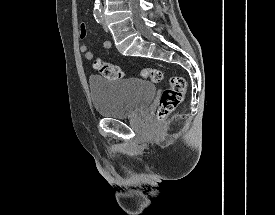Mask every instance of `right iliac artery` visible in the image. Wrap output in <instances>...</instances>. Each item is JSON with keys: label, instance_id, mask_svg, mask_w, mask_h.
Segmentation results:
<instances>
[{"label": "right iliac artery", "instance_id": "82829eb1", "mask_svg": "<svg viewBox=\"0 0 275 215\" xmlns=\"http://www.w3.org/2000/svg\"><path fill=\"white\" fill-rule=\"evenodd\" d=\"M94 18L96 19V21L98 23L102 22V13H101V9L98 7L94 8Z\"/></svg>", "mask_w": 275, "mask_h": 215}]
</instances>
